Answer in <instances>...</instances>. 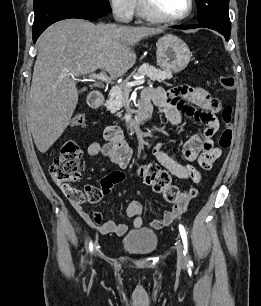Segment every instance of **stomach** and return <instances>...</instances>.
<instances>
[{
	"instance_id": "1",
	"label": "stomach",
	"mask_w": 261,
	"mask_h": 306,
	"mask_svg": "<svg viewBox=\"0 0 261 306\" xmlns=\"http://www.w3.org/2000/svg\"><path fill=\"white\" fill-rule=\"evenodd\" d=\"M157 65L162 70L178 73L184 70L191 59V52L179 37L167 34L156 43Z\"/></svg>"
}]
</instances>
